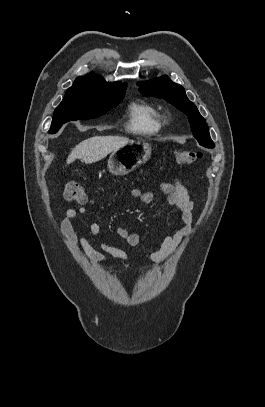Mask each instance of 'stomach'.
Segmentation results:
<instances>
[{
  "label": "stomach",
  "instance_id": "stomach-1",
  "mask_svg": "<svg viewBox=\"0 0 265 407\" xmlns=\"http://www.w3.org/2000/svg\"><path fill=\"white\" fill-rule=\"evenodd\" d=\"M151 156V147L144 141L131 140L112 151L108 159L109 171L116 176L126 175Z\"/></svg>",
  "mask_w": 265,
  "mask_h": 407
}]
</instances>
